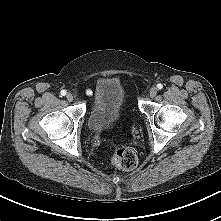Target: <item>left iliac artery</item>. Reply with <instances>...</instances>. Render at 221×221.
<instances>
[{
    "label": "left iliac artery",
    "instance_id": "obj_1",
    "mask_svg": "<svg viewBox=\"0 0 221 221\" xmlns=\"http://www.w3.org/2000/svg\"><path fill=\"white\" fill-rule=\"evenodd\" d=\"M157 88L160 90L163 88V85L161 83L157 84Z\"/></svg>",
    "mask_w": 221,
    "mask_h": 221
}]
</instances>
